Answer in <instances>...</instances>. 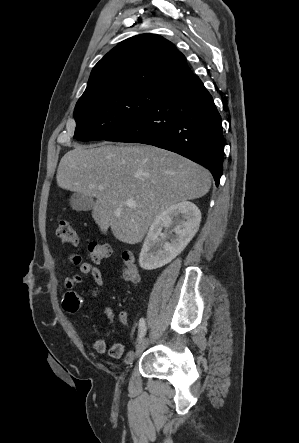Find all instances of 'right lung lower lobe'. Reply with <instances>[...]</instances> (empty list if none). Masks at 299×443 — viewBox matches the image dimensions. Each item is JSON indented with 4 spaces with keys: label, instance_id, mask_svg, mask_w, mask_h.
<instances>
[{
    "label": "right lung lower lobe",
    "instance_id": "right-lung-lower-lobe-1",
    "mask_svg": "<svg viewBox=\"0 0 299 443\" xmlns=\"http://www.w3.org/2000/svg\"><path fill=\"white\" fill-rule=\"evenodd\" d=\"M143 143L183 155L207 167L219 184L222 175L221 117L196 75L164 90L136 121L105 139Z\"/></svg>",
    "mask_w": 299,
    "mask_h": 443
}]
</instances>
